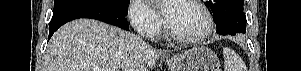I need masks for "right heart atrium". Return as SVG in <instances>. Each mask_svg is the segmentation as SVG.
<instances>
[{
    "label": "right heart atrium",
    "instance_id": "1",
    "mask_svg": "<svg viewBox=\"0 0 301 71\" xmlns=\"http://www.w3.org/2000/svg\"><path fill=\"white\" fill-rule=\"evenodd\" d=\"M129 19L135 30L147 38L156 36L162 27L159 14L144 0L132 1Z\"/></svg>",
    "mask_w": 301,
    "mask_h": 71
}]
</instances>
